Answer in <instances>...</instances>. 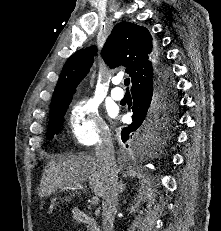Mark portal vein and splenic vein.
Listing matches in <instances>:
<instances>
[{
    "label": "portal vein and splenic vein",
    "mask_w": 221,
    "mask_h": 231,
    "mask_svg": "<svg viewBox=\"0 0 221 231\" xmlns=\"http://www.w3.org/2000/svg\"><path fill=\"white\" fill-rule=\"evenodd\" d=\"M63 189H65V188H62V190ZM71 189H81V190H85L84 189V187L83 186H74V187H71ZM91 203L93 204V205H97L98 203H99V198H98V196H93L92 198H91Z\"/></svg>",
    "instance_id": "18ae733b"
}]
</instances>
